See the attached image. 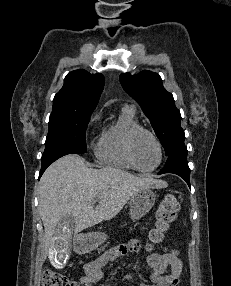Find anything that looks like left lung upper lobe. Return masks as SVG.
I'll use <instances>...</instances> for the list:
<instances>
[{
  "label": "left lung upper lobe",
  "instance_id": "obj_1",
  "mask_svg": "<svg viewBox=\"0 0 231 286\" xmlns=\"http://www.w3.org/2000/svg\"><path fill=\"white\" fill-rule=\"evenodd\" d=\"M120 82L149 118L167 156L176 147L184 145L185 134L180 125V112L175 107L172 94L164 89L157 73L142 71L133 76L122 74Z\"/></svg>",
  "mask_w": 231,
  "mask_h": 286
}]
</instances>
